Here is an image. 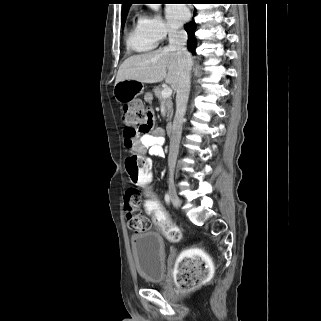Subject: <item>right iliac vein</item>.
Returning a JSON list of instances; mask_svg holds the SVG:
<instances>
[{
	"label": "right iliac vein",
	"instance_id": "63e3f726",
	"mask_svg": "<svg viewBox=\"0 0 321 321\" xmlns=\"http://www.w3.org/2000/svg\"><path fill=\"white\" fill-rule=\"evenodd\" d=\"M168 191H169V196L170 199L175 207H179L181 202L180 199L177 195L176 188L174 185V181L172 178L169 179V184H168Z\"/></svg>",
	"mask_w": 321,
	"mask_h": 321
}]
</instances>
